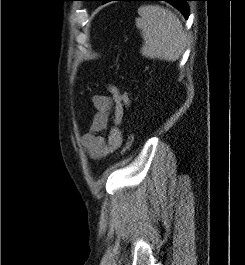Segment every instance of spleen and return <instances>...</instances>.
<instances>
[{
    "label": "spleen",
    "instance_id": "3e777b00",
    "mask_svg": "<svg viewBox=\"0 0 245 265\" xmlns=\"http://www.w3.org/2000/svg\"><path fill=\"white\" fill-rule=\"evenodd\" d=\"M136 27L144 40L143 56L174 62L182 55L186 33L179 18L169 9L159 5H143L138 9Z\"/></svg>",
    "mask_w": 245,
    "mask_h": 265
}]
</instances>
